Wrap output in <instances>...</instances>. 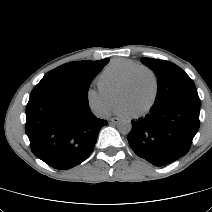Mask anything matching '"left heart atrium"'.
I'll list each match as a JSON object with an SVG mask.
<instances>
[{
    "label": "left heart atrium",
    "mask_w": 212,
    "mask_h": 212,
    "mask_svg": "<svg viewBox=\"0 0 212 212\" xmlns=\"http://www.w3.org/2000/svg\"><path fill=\"white\" fill-rule=\"evenodd\" d=\"M115 113L120 115V116H131L133 114L132 109L125 103H120L117 105L115 108Z\"/></svg>",
    "instance_id": "obj_1"
}]
</instances>
